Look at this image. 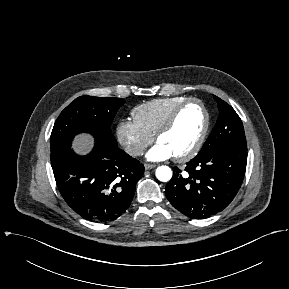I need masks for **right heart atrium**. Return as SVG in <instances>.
I'll return each instance as SVG.
<instances>
[{
  "label": "right heart atrium",
  "mask_w": 289,
  "mask_h": 289,
  "mask_svg": "<svg viewBox=\"0 0 289 289\" xmlns=\"http://www.w3.org/2000/svg\"><path fill=\"white\" fill-rule=\"evenodd\" d=\"M116 137L125 152L132 157L140 156L153 142V136L145 132L134 120L128 119L118 122Z\"/></svg>",
  "instance_id": "1"
}]
</instances>
